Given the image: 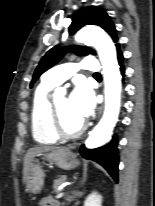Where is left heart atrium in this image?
Masks as SVG:
<instances>
[{"label": "left heart atrium", "mask_w": 155, "mask_h": 206, "mask_svg": "<svg viewBox=\"0 0 155 206\" xmlns=\"http://www.w3.org/2000/svg\"><path fill=\"white\" fill-rule=\"evenodd\" d=\"M69 104L74 115L80 120L86 119L93 109V95L85 83H78L69 97Z\"/></svg>", "instance_id": "1"}]
</instances>
